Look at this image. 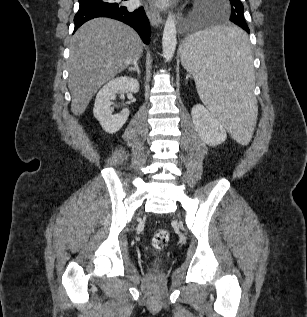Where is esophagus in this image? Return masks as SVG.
I'll use <instances>...</instances> for the list:
<instances>
[{
    "mask_svg": "<svg viewBox=\"0 0 307 317\" xmlns=\"http://www.w3.org/2000/svg\"><path fill=\"white\" fill-rule=\"evenodd\" d=\"M146 14L152 24V26H159L162 22V15L160 11L155 7V3L153 1H149L148 5H146Z\"/></svg>",
    "mask_w": 307,
    "mask_h": 317,
    "instance_id": "esophagus-1",
    "label": "esophagus"
}]
</instances>
